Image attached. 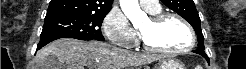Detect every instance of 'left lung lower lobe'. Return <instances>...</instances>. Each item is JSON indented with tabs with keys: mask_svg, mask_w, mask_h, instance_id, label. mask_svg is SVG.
I'll return each instance as SVG.
<instances>
[{
	"mask_svg": "<svg viewBox=\"0 0 246 69\" xmlns=\"http://www.w3.org/2000/svg\"><path fill=\"white\" fill-rule=\"evenodd\" d=\"M193 52L197 53V54H200L201 56H203L209 63V58L208 56L201 50H194Z\"/></svg>",
	"mask_w": 246,
	"mask_h": 69,
	"instance_id": "left-lung-lower-lobe-1",
	"label": "left lung lower lobe"
}]
</instances>
